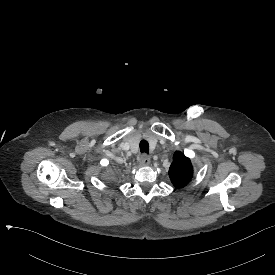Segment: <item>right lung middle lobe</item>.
<instances>
[{
	"mask_svg": "<svg viewBox=\"0 0 275 275\" xmlns=\"http://www.w3.org/2000/svg\"><path fill=\"white\" fill-rule=\"evenodd\" d=\"M98 177L105 182V188L110 193H117L123 187L122 173L114 165H103L98 170Z\"/></svg>",
	"mask_w": 275,
	"mask_h": 275,
	"instance_id": "right-lung-middle-lobe-1",
	"label": "right lung middle lobe"
}]
</instances>
